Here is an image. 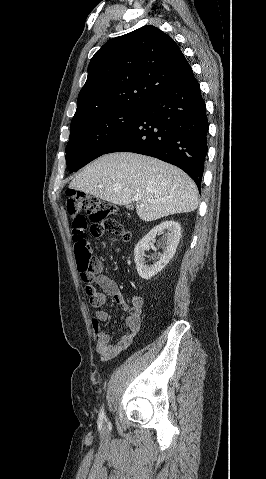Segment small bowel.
Masks as SVG:
<instances>
[{"label": "small bowel", "mask_w": 266, "mask_h": 479, "mask_svg": "<svg viewBox=\"0 0 266 479\" xmlns=\"http://www.w3.org/2000/svg\"><path fill=\"white\" fill-rule=\"evenodd\" d=\"M93 275L95 281L101 288L91 305L99 308L104 305L106 298L110 297L123 311H125V327L128 332L121 335L120 339L113 343L111 333L102 328V323L107 321L109 315L104 310H97L92 319V327L96 335V351L103 360H110L127 349L133 341L134 336L141 328V315L144 308V299L134 294L131 298V306H129L121 293L115 281L102 274L104 264L102 260L96 258L93 260Z\"/></svg>", "instance_id": "small-bowel-1"}]
</instances>
